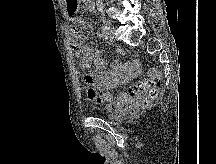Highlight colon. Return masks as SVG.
I'll return each instance as SVG.
<instances>
[{
  "instance_id": "colon-1",
  "label": "colon",
  "mask_w": 216,
  "mask_h": 164,
  "mask_svg": "<svg viewBox=\"0 0 216 164\" xmlns=\"http://www.w3.org/2000/svg\"><path fill=\"white\" fill-rule=\"evenodd\" d=\"M162 83V76L156 68L149 70L148 75L137 80L129 89L115 95L104 93L102 98L109 104L124 105L133 99H138L142 108H149L158 96V90Z\"/></svg>"
}]
</instances>
